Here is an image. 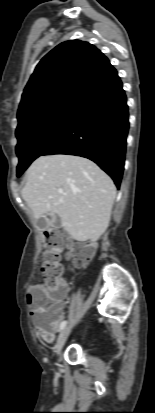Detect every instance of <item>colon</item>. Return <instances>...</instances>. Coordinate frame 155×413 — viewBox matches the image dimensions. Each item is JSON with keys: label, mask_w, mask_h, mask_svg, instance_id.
<instances>
[{"label": "colon", "mask_w": 155, "mask_h": 413, "mask_svg": "<svg viewBox=\"0 0 155 413\" xmlns=\"http://www.w3.org/2000/svg\"><path fill=\"white\" fill-rule=\"evenodd\" d=\"M44 244L47 251L43 255L41 272L48 293L37 294L34 304L35 310L40 315L42 325L46 323L49 313L54 312V304L62 298L66 290V285L62 278V266L60 264L63 248L67 246L71 249L79 266H85L93 254V249L90 245L85 243L72 244L71 241L53 228L45 230Z\"/></svg>", "instance_id": "colon-1"}]
</instances>
